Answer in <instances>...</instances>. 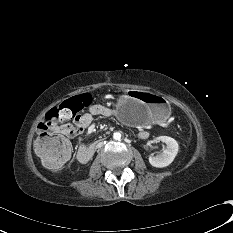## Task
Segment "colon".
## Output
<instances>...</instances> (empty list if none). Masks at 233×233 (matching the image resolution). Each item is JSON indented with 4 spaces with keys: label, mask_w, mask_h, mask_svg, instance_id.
<instances>
[{
    "label": "colon",
    "mask_w": 233,
    "mask_h": 233,
    "mask_svg": "<svg viewBox=\"0 0 233 233\" xmlns=\"http://www.w3.org/2000/svg\"><path fill=\"white\" fill-rule=\"evenodd\" d=\"M91 101L89 93L71 97L52 109L39 124L35 151L48 169H61L71 157V145L68 140L51 131L53 122L58 119L75 118Z\"/></svg>",
    "instance_id": "colon-1"
}]
</instances>
